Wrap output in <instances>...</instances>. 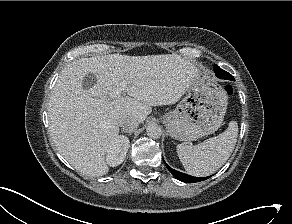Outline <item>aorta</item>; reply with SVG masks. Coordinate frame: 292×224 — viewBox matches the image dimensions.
<instances>
[{"instance_id": "obj_1", "label": "aorta", "mask_w": 292, "mask_h": 224, "mask_svg": "<svg viewBox=\"0 0 292 224\" xmlns=\"http://www.w3.org/2000/svg\"><path fill=\"white\" fill-rule=\"evenodd\" d=\"M147 135L151 138H159L161 136V127L156 123H151L146 128Z\"/></svg>"}]
</instances>
